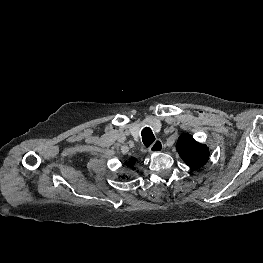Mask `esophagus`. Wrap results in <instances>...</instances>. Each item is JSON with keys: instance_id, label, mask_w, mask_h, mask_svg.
I'll use <instances>...</instances> for the list:
<instances>
[{"instance_id": "1", "label": "esophagus", "mask_w": 263, "mask_h": 263, "mask_svg": "<svg viewBox=\"0 0 263 263\" xmlns=\"http://www.w3.org/2000/svg\"><path fill=\"white\" fill-rule=\"evenodd\" d=\"M163 149V143L160 139H157L150 147L149 153L160 152Z\"/></svg>"}]
</instances>
